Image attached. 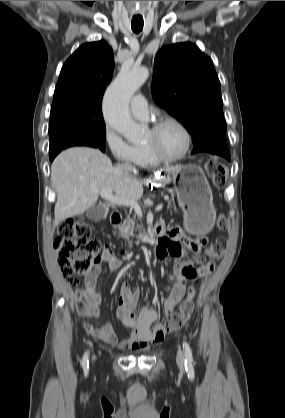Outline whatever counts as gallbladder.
Masks as SVG:
<instances>
[{
  "label": "gallbladder",
  "instance_id": "bac80fb5",
  "mask_svg": "<svg viewBox=\"0 0 285 418\" xmlns=\"http://www.w3.org/2000/svg\"><path fill=\"white\" fill-rule=\"evenodd\" d=\"M86 216L91 221H100L107 216V210L102 204H95L86 211Z\"/></svg>",
  "mask_w": 285,
  "mask_h": 418
}]
</instances>
